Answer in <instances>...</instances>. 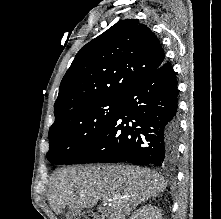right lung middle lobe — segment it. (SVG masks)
<instances>
[{"label": "right lung middle lobe", "instance_id": "dd1d6c3e", "mask_svg": "<svg viewBox=\"0 0 221 219\" xmlns=\"http://www.w3.org/2000/svg\"><path fill=\"white\" fill-rule=\"evenodd\" d=\"M121 98H105L79 105L55 119L49 130L47 159L65 164L85 150L106 128Z\"/></svg>", "mask_w": 221, "mask_h": 219}]
</instances>
